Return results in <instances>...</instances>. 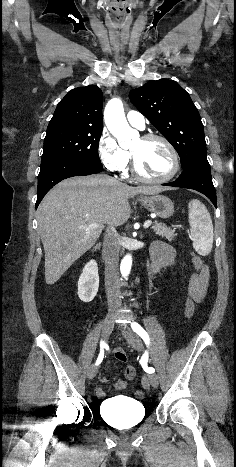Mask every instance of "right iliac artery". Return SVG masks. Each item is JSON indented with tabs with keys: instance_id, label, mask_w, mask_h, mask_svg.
Masks as SVG:
<instances>
[{
	"instance_id": "obj_1",
	"label": "right iliac artery",
	"mask_w": 236,
	"mask_h": 467,
	"mask_svg": "<svg viewBox=\"0 0 236 467\" xmlns=\"http://www.w3.org/2000/svg\"><path fill=\"white\" fill-rule=\"evenodd\" d=\"M105 347H106V343L104 341H101L100 342V353H99V356H98V358L96 360L95 365H99L102 362V360L104 358V348Z\"/></svg>"
}]
</instances>
